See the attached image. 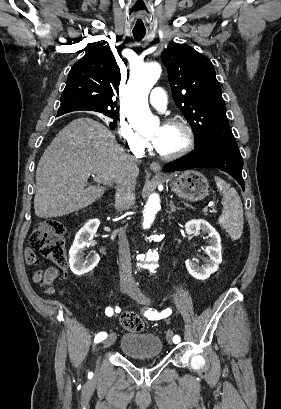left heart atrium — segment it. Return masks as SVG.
Instances as JSON below:
<instances>
[{"mask_svg": "<svg viewBox=\"0 0 281 409\" xmlns=\"http://www.w3.org/2000/svg\"><path fill=\"white\" fill-rule=\"evenodd\" d=\"M158 143V136L154 137L152 140V144L156 145Z\"/></svg>", "mask_w": 281, "mask_h": 409, "instance_id": "39dd6f15", "label": "left heart atrium"}]
</instances>
